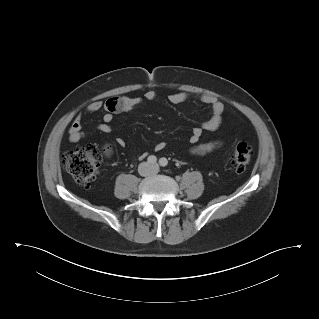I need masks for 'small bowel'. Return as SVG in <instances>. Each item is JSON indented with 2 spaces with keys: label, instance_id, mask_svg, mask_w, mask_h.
Masks as SVG:
<instances>
[{
  "label": "small bowel",
  "instance_id": "obj_1",
  "mask_svg": "<svg viewBox=\"0 0 319 319\" xmlns=\"http://www.w3.org/2000/svg\"><path fill=\"white\" fill-rule=\"evenodd\" d=\"M157 97V94L154 90L145 91L143 98L146 101H153ZM117 99L115 104L109 107L108 102L110 100ZM189 99V96L183 92H175L169 95L170 102L174 104H180ZM199 101L210 106L212 110V115L209 119L204 121L201 126L195 127L192 130L190 136V142L193 144L192 152L197 155H203L214 151L220 147V142L218 141H209L205 143H200V138L204 130L214 131L216 130L223 119V114L225 110L224 103L219 100L216 96L213 95H202L199 98ZM140 97L136 96H123V97H114L109 99L106 102L96 100L90 103L86 109V112L89 114L97 113L102 111V123L98 125V130L102 133H110L112 131L111 122L114 119L115 113L119 112H128L136 107L141 102ZM85 136L83 131V117L82 114L77 115L72 121L68 129V139L70 142H78ZM116 143L119 146L125 145V140L121 137L116 139ZM165 147L164 142H158L156 148L161 150ZM144 154L138 156L139 159L143 158Z\"/></svg>",
  "mask_w": 319,
  "mask_h": 319
}]
</instances>
